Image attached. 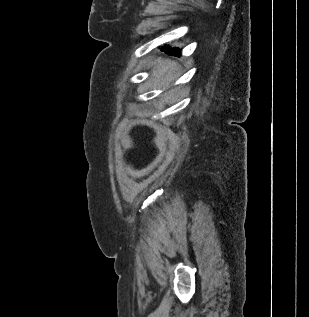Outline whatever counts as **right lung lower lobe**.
<instances>
[{
  "instance_id": "1",
  "label": "right lung lower lobe",
  "mask_w": 309,
  "mask_h": 317,
  "mask_svg": "<svg viewBox=\"0 0 309 317\" xmlns=\"http://www.w3.org/2000/svg\"><path fill=\"white\" fill-rule=\"evenodd\" d=\"M167 48H168L167 46L162 47V51L166 50L165 52L168 53V54H170V55L180 56V51H179L177 48H175V49H168V50H167Z\"/></svg>"
}]
</instances>
